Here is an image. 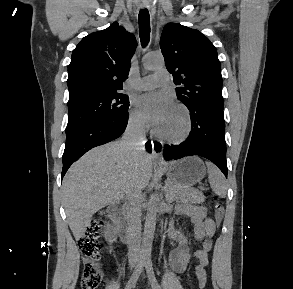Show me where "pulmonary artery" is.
Returning <instances> with one entry per match:
<instances>
[{
	"label": "pulmonary artery",
	"instance_id": "e3ab8cb5",
	"mask_svg": "<svg viewBox=\"0 0 293 289\" xmlns=\"http://www.w3.org/2000/svg\"><path fill=\"white\" fill-rule=\"evenodd\" d=\"M170 82V74L165 69L156 70L155 73L138 79L134 87L138 90H150L159 85H164Z\"/></svg>",
	"mask_w": 293,
	"mask_h": 289
}]
</instances>
